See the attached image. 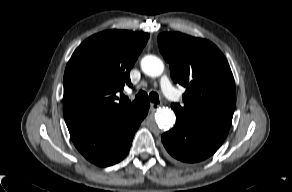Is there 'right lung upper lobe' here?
Segmentation results:
<instances>
[{
  "label": "right lung upper lobe",
  "instance_id": "1",
  "mask_svg": "<svg viewBox=\"0 0 292 192\" xmlns=\"http://www.w3.org/2000/svg\"><path fill=\"white\" fill-rule=\"evenodd\" d=\"M148 33L108 30L86 39L73 53L64 73L63 114L67 126L106 122L134 112L139 105L117 102L131 86L130 70Z\"/></svg>",
  "mask_w": 292,
  "mask_h": 192
}]
</instances>
